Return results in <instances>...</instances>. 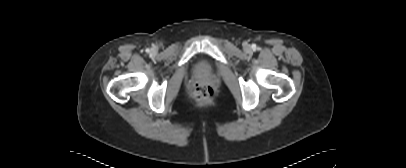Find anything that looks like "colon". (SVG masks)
Here are the masks:
<instances>
[{
  "instance_id": "1",
  "label": "colon",
  "mask_w": 406,
  "mask_h": 168,
  "mask_svg": "<svg viewBox=\"0 0 406 168\" xmlns=\"http://www.w3.org/2000/svg\"><path fill=\"white\" fill-rule=\"evenodd\" d=\"M193 98L200 104L209 103L214 98V91L209 85L197 84L194 88Z\"/></svg>"
}]
</instances>
